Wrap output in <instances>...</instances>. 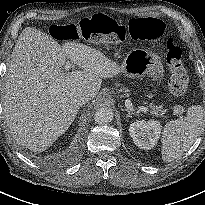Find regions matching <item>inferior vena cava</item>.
I'll return each mask as SVG.
<instances>
[{
  "instance_id": "obj_1",
  "label": "inferior vena cava",
  "mask_w": 205,
  "mask_h": 205,
  "mask_svg": "<svg viewBox=\"0 0 205 205\" xmlns=\"http://www.w3.org/2000/svg\"><path fill=\"white\" fill-rule=\"evenodd\" d=\"M89 100H91V96L88 93H79L75 97V102L79 105L82 106L86 104Z\"/></svg>"
}]
</instances>
